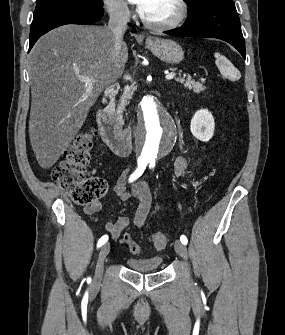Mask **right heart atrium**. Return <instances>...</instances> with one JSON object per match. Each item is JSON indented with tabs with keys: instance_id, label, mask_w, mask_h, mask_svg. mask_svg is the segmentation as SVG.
I'll return each instance as SVG.
<instances>
[{
	"instance_id": "d8ad5b80",
	"label": "right heart atrium",
	"mask_w": 285,
	"mask_h": 335,
	"mask_svg": "<svg viewBox=\"0 0 285 335\" xmlns=\"http://www.w3.org/2000/svg\"><path fill=\"white\" fill-rule=\"evenodd\" d=\"M109 17L116 22H127L131 17V6L128 1H105Z\"/></svg>"
}]
</instances>
